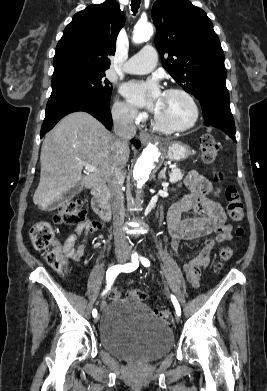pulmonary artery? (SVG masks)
Masks as SVG:
<instances>
[{
  "label": "pulmonary artery",
  "instance_id": "pulmonary-artery-1",
  "mask_svg": "<svg viewBox=\"0 0 267 391\" xmlns=\"http://www.w3.org/2000/svg\"><path fill=\"white\" fill-rule=\"evenodd\" d=\"M157 58L156 49L146 45L124 64L123 71L130 74L148 73L155 68Z\"/></svg>",
  "mask_w": 267,
  "mask_h": 391
}]
</instances>
